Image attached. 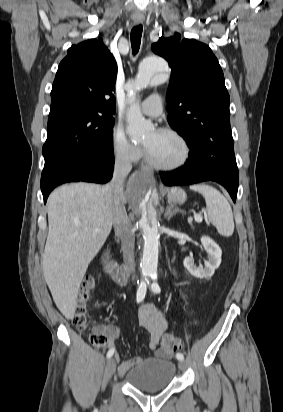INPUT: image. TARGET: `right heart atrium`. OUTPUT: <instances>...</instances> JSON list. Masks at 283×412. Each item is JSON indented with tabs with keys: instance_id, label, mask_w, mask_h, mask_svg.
<instances>
[{
	"instance_id": "d8ad5b80",
	"label": "right heart atrium",
	"mask_w": 283,
	"mask_h": 412,
	"mask_svg": "<svg viewBox=\"0 0 283 412\" xmlns=\"http://www.w3.org/2000/svg\"><path fill=\"white\" fill-rule=\"evenodd\" d=\"M110 142L114 156L124 163H135L142 156L141 146L133 143L121 126L113 127Z\"/></svg>"
}]
</instances>
